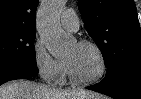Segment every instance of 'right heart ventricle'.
Segmentation results:
<instances>
[{"instance_id": "obj_1", "label": "right heart ventricle", "mask_w": 141, "mask_h": 99, "mask_svg": "<svg viewBox=\"0 0 141 99\" xmlns=\"http://www.w3.org/2000/svg\"><path fill=\"white\" fill-rule=\"evenodd\" d=\"M62 63H63V70H62V74H61L60 78L58 79V82H60V83H64L66 81V76H67L65 62L62 61Z\"/></svg>"}]
</instances>
